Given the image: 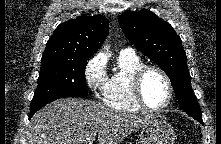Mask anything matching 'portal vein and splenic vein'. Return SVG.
Returning a JSON list of instances; mask_svg holds the SVG:
<instances>
[{
    "mask_svg": "<svg viewBox=\"0 0 221 144\" xmlns=\"http://www.w3.org/2000/svg\"><path fill=\"white\" fill-rule=\"evenodd\" d=\"M93 141H94V138H90V139H88L87 144H92Z\"/></svg>",
    "mask_w": 221,
    "mask_h": 144,
    "instance_id": "portal-vein-and-splenic-vein-1",
    "label": "portal vein and splenic vein"
}]
</instances>
